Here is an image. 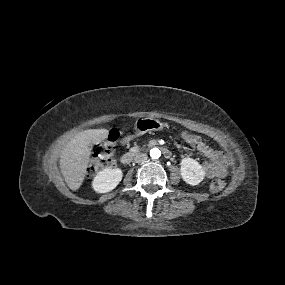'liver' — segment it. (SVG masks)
Instances as JSON below:
<instances>
[{"instance_id": "obj_1", "label": "liver", "mask_w": 285, "mask_h": 285, "mask_svg": "<svg viewBox=\"0 0 285 285\" xmlns=\"http://www.w3.org/2000/svg\"><path fill=\"white\" fill-rule=\"evenodd\" d=\"M106 129H89L77 134L67 145L60 163L67 186L75 191L82 185L90 158V146L108 136Z\"/></svg>"}]
</instances>
